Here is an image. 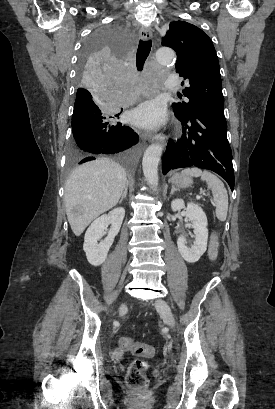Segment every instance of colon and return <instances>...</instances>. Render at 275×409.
<instances>
[{
	"mask_svg": "<svg viewBox=\"0 0 275 409\" xmlns=\"http://www.w3.org/2000/svg\"><path fill=\"white\" fill-rule=\"evenodd\" d=\"M120 348L135 353L137 358H151L153 356L152 350L156 349V344L145 340H132L130 337H122ZM146 371L147 363L144 360L137 359L133 361L127 371V384L130 387L144 388L147 383Z\"/></svg>",
	"mask_w": 275,
	"mask_h": 409,
	"instance_id": "5ec220e1",
	"label": "colon"
}]
</instances>
